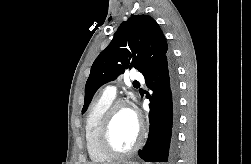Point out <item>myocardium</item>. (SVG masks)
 Masks as SVG:
<instances>
[{"mask_svg":"<svg viewBox=\"0 0 251 164\" xmlns=\"http://www.w3.org/2000/svg\"><path fill=\"white\" fill-rule=\"evenodd\" d=\"M123 107L130 108V104L125 100L113 101L108 107V109L106 110L102 118L100 127H99V131H98L99 148L104 154H106L110 158H122V157L130 156L141 147L142 142H143L144 126H143L142 121L137 118L138 137L134 145L128 150H124V151H119L113 147L110 140L112 123H113V120L117 111Z\"/></svg>","mask_w":251,"mask_h":164,"instance_id":"1","label":"myocardium"}]
</instances>
